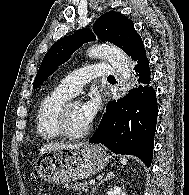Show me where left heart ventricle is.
I'll return each instance as SVG.
<instances>
[{"label": "left heart ventricle", "mask_w": 189, "mask_h": 195, "mask_svg": "<svg viewBox=\"0 0 189 195\" xmlns=\"http://www.w3.org/2000/svg\"><path fill=\"white\" fill-rule=\"evenodd\" d=\"M89 124V121L83 113L82 104L79 102L75 103L71 107L68 116V125L70 130L74 133H78L86 129Z\"/></svg>", "instance_id": "obj_1"}]
</instances>
